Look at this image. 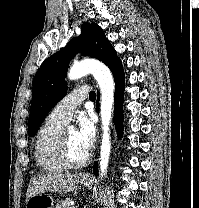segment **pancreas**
<instances>
[{"label":"pancreas","instance_id":"pancreas-1","mask_svg":"<svg viewBox=\"0 0 199 208\" xmlns=\"http://www.w3.org/2000/svg\"><path fill=\"white\" fill-rule=\"evenodd\" d=\"M71 201H72V199H70V198L65 199V200L61 201L59 204H57L55 208H71L70 207Z\"/></svg>","mask_w":199,"mask_h":208}]
</instances>
